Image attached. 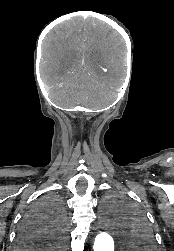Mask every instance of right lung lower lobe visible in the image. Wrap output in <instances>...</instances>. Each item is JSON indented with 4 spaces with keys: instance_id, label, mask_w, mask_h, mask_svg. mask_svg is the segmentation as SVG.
Returning <instances> with one entry per match:
<instances>
[{
    "instance_id": "right-lung-lower-lobe-1",
    "label": "right lung lower lobe",
    "mask_w": 174,
    "mask_h": 251,
    "mask_svg": "<svg viewBox=\"0 0 174 251\" xmlns=\"http://www.w3.org/2000/svg\"><path fill=\"white\" fill-rule=\"evenodd\" d=\"M60 233L52 230V228L39 221L24 220L17 237L16 248L18 251L39 250L36 246L43 247L54 236L58 237ZM58 248H62V241L57 240Z\"/></svg>"
}]
</instances>
